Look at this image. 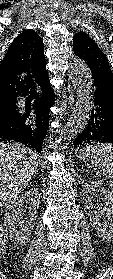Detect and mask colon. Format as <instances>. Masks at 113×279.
Here are the masks:
<instances>
[{
	"label": "colon",
	"mask_w": 113,
	"mask_h": 279,
	"mask_svg": "<svg viewBox=\"0 0 113 279\" xmlns=\"http://www.w3.org/2000/svg\"><path fill=\"white\" fill-rule=\"evenodd\" d=\"M3 239H4V234H3V231H2V229H1V227H0V250L2 249V247H3Z\"/></svg>",
	"instance_id": "5ec220e1"
}]
</instances>
